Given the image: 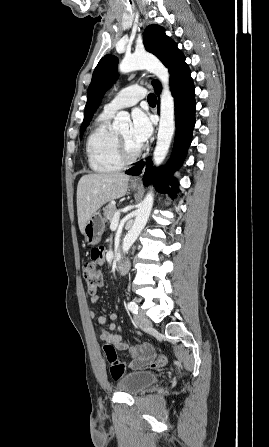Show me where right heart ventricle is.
Instances as JSON below:
<instances>
[{
  "label": "right heart ventricle",
  "mask_w": 269,
  "mask_h": 447,
  "mask_svg": "<svg viewBox=\"0 0 269 447\" xmlns=\"http://www.w3.org/2000/svg\"><path fill=\"white\" fill-rule=\"evenodd\" d=\"M113 114L105 110L99 114L87 142L89 166L96 172L115 171L123 166L117 156L115 132L110 125Z\"/></svg>",
  "instance_id": "1"
}]
</instances>
